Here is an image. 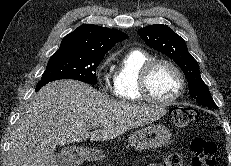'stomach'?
I'll return each instance as SVG.
<instances>
[{
    "mask_svg": "<svg viewBox=\"0 0 231 166\" xmlns=\"http://www.w3.org/2000/svg\"><path fill=\"white\" fill-rule=\"evenodd\" d=\"M171 137L170 129L164 125H150L129 136V144L138 150L154 149L164 146ZM63 160L71 166L84 161H98L104 157L103 151L94 148L67 147L63 149Z\"/></svg>",
    "mask_w": 231,
    "mask_h": 166,
    "instance_id": "obj_1",
    "label": "stomach"
}]
</instances>
